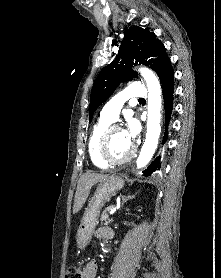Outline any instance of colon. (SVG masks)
Listing matches in <instances>:
<instances>
[{
    "label": "colon",
    "instance_id": "1",
    "mask_svg": "<svg viewBox=\"0 0 221 278\" xmlns=\"http://www.w3.org/2000/svg\"><path fill=\"white\" fill-rule=\"evenodd\" d=\"M66 278H86V275L82 268L73 266L67 269Z\"/></svg>",
    "mask_w": 221,
    "mask_h": 278
}]
</instances>
